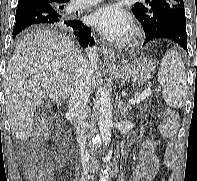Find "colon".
Listing matches in <instances>:
<instances>
[{"instance_id": "colon-1", "label": "colon", "mask_w": 197, "mask_h": 181, "mask_svg": "<svg viewBox=\"0 0 197 181\" xmlns=\"http://www.w3.org/2000/svg\"><path fill=\"white\" fill-rule=\"evenodd\" d=\"M178 114L175 110H167L162 121V130L167 136H173L177 130ZM53 166L61 165V158L56 155L50 157ZM22 169L29 181H51L49 172L43 166L41 154L34 149H29L24 155Z\"/></svg>"}]
</instances>
